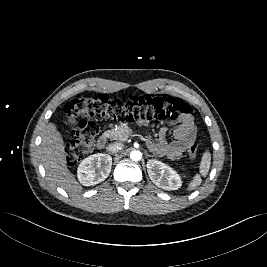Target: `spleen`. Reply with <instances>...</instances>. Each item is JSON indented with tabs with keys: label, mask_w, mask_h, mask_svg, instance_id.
Returning <instances> with one entry per match:
<instances>
[{
	"label": "spleen",
	"mask_w": 267,
	"mask_h": 267,
	"mask_svg": "<svg viewBox=\"0 0 267 267\" xmlns=\"http://www.w3.org/2000/svg\"><path fill=\"white\" fill-rule=\"evenodd\" d=\"M211 164V155L209 151H206L203 156H202V160L200 163V174L205 176L208 171H209V167ZM202 182V179L200 178V175L197 174L194 179L192 180V182L189 185V189L193 190L196 189Z\"/></svg>",
	"instance_id": "spleen-1"
}]
</instances>
